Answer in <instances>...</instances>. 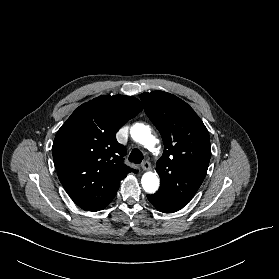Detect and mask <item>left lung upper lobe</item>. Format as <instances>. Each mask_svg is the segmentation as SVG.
I'll return each mask as SVG.
<instances>
[{
	"label": "left lung upper lobe",
	"mask_w": 279,
	"mask_h": 279,
	"mask_svg": "<svg viewBox=\"0 0 279 279\" xmlns=\"http://www.w3.org/2000/svg\"><path fill=\"white\" fill-rule=\"evenodd\" d=\"M140 98L165 147L156 163L161 180L158 192L192 199L206 176L211 157L207 128L194 110L175 95L153 91Z\"/></svg>",
	"instance_id": "1"
}]
</instances>
